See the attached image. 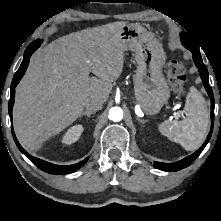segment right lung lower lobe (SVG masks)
I'll return each instance as SVG.
<instances>
[{
    "label": "right lung lower lobe",
    "mask_w": 221,
    "mask_h": 221,
    "mask_svg": "<svg viewBox=\"0 0 221 221\" xmlns=\"http://www.w3.org/2000/svg\"><path fill=\"white\" fill-rule=\"evenodd\" d=\"M41 41L39 39L35 40L34 42H32L27 49L24 52V57H23V61L18 69V71L15 73L12 83H11V95H10V100H9V104H8V111H9V116L10 119L12 120V108L14 105V98H15V87L17 86V84L19 83L20 79L23 77L27 66L29 64V60H30V56L31 54L40 46ZM12 129V134H13V138L14 141L17 145V147L19 148V150L26 155L39 169H41L44 172L50 173V174H68L71 173L77 169H79L80 167H82L88 160V158H86L85 160L79 162L78 164H73V165H67V166H61V165H55L49 162H46L44 160L35 158L33 156H31L29 153H27L19 144L13 127H11Z\"/></svg>",
    "instance_id": "obj_1"
}]
</instances>
